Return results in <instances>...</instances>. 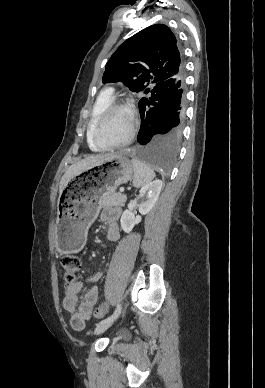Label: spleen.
I'll return each instance as SVG.
<instances>
[{"label":"spleen","instance_id":"spleen-1","mask_svg":"<svg viewBox=\"0 0 265 388\" xmlns=\"http://www.w3.org/2000/svg\"><path fill=\"white\" fill-rule=\"evenodd\" d=\"M134 176H133V186L134 188H141V186H145L151 180L155 178L154 170H151L148 164L145 162H140V160H132Z\"/></svg>","mask_w":265,"mask_h":388}]
</instances>
